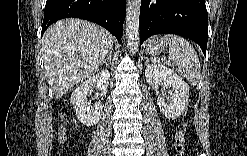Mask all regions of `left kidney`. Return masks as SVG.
I'll return each mask as SVG.
<instances>
[{
	"instance_id": "left-kidney-1",
	"label": "left kidney",
	"mask_w": 247,
	"mask_h": 156,
	"mask_svg": "<svg viewBox=\"0 0 247 156\" xmlns=\"http://www.w3.org/2000/svg\"><path fill=\"white\" fill-rule=\"evenodd\" d=\"M145 77L152 86L163 85L164 89L158 92L157 104L167 119L174 120L186 111L190 87L177 73L154 62L146 66Z\"/></svg>"
}]
</instances>
